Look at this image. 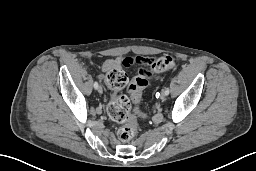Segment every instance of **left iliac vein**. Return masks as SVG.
I'll return each mask as SVG.
<instances>
[{"label": "left iliac vein", "mask_w": 256, "mask_h": 171, "mask_svg": "<svg viewBox=\"0 0 256 171\" xmlns=\"http://www.w3.org/2000/svg\"><path fill=\"white\" fill-rule=\"evenodd\" d=\"M166 96H167V95L165 94V92H164V91H162V92H161V95H160L161 100H163V101H164V100H165V98H166Z\"/></svg>", "instance_id": "obj_1"}]
</instances>
